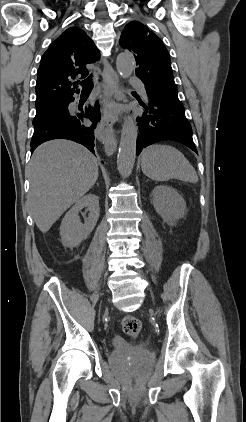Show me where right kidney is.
<instances>
[{
    "mask_svg": "<svg viewBox=\"0 0 246 422\" xmlns=\"http://www.w3.org/2000/svg\"><path fill=\"white\" fill-rule=\"evenodd\" d=\"M86 208L89 211L84 224L80 221L79 212ZM100 214L99 199L95 194H87L78 200L66 213L60 226V236L65 247H77L93 231Z\"/></svg>",
    "mask_w": 246,
    "mask_h": 422,
    "instance_id": "1",
    "label": "right kidney"
}]
</instances>
